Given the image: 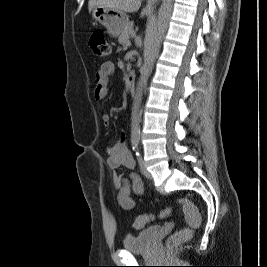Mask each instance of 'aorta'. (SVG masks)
Masks as SVG:
<instances>
[{
    "label": "aorta",
    "mask_w": 267,
    "mask_h": 267,
    "mask_svg": "<svg viewBox=\"0 0 267 267\" xmlns=\"http://www.w3.org/2000/svg\"><path fill=\"white\" fill-rule=\"evenodd\" d=\"M172 9L173 0H162L154 27L149 32L146 39L144 64L141 68L140 79L136 87L131 114V138L133 140H139L140 138V105L142 92L152 72L155 60L158 57L162 40L168 28Z\"/></svg>",
    "instance_id": "1"
}]
</instances>
